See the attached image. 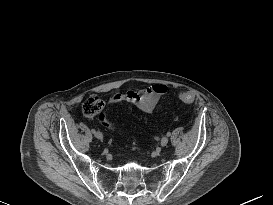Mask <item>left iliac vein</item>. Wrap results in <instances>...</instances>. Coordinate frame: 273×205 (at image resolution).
<instances>
[{
    "mask_svg": "<svg viewBox=\"0 0 273 205\" xmlns=\"http://www.w3.org/2000/svg\"><path fill=\"white\" fill-rule=\"evenodd\" d=\"M168 137H166V136H164L162 139H161V142H160V144H161V146L162 147H164V146H166L167 144H168Z\"/></svg>",
    "mask_w": 273,
    "mask_h": 205,
    "instance_id": "obj_1",
    "label": "left iliac vein"
}]
</instances>
